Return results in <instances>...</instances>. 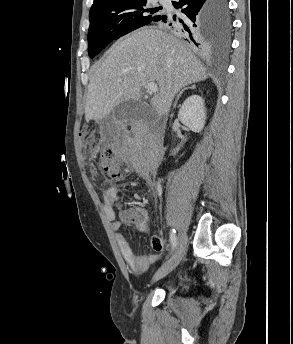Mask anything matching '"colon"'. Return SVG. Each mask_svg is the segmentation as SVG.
Masks as SVG:
<instances>
[{
    "mask_svg": "<svg viewBox=\"0 0 293 344\" xmlns=\"http://www.w3.org/2000/svg\"><path fill=\"white\" fill-rule=\"evenodd\" d=\"M100 164L103 171L112 178L118 179L124 176L122 164L110 144L102 147L100 151ZM121 218L123 221L134 223L139 227H143L146 223L145 214L140 209L123 210Z\"/></svg>",
    "mask_w": 293,
    "mask_h": 344,
    "instance_id": "obj_1",
    "label": "colon"
}]
</instances>
